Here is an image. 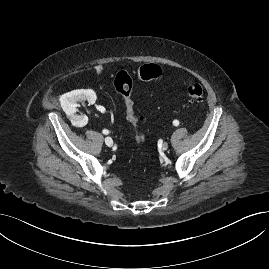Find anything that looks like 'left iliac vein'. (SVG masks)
Listing matches in <instances>:
<instances>
[{
  "label": "left iliac vein",
  "mask_w": 269,
  "mask_h": 269,
  "mask_svg": "<svg viewBox=\"0 0 269 269\" xmlns=\"http://www.w3.org/2000/svg\"><path fill=\"white\" fill-rule=\"evenodd\" d=\"M168 147H169V145H168L167 142H164V143L162 144V150H167Z\"/></svg>",
  "instance_id": "1"
}]
</instances>
